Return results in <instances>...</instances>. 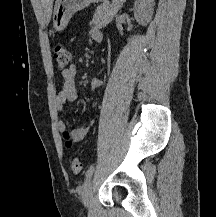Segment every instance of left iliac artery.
<instances>
[{
	"label": "left iliac artery",
	"instance_id": "obj_1",
	"mask_svg": "<svg viewBox=\"0 0 216 217\" xmlns=\"http://www.w3.org/2000/svg\"><path fill=\"white\" fill-rule=\"evenodd\" d=\"M94 169H95V167H94V165H91L89 168H88V170L86 171V182L91 178V176H92V174H93V172H94Z\"/></svg>",
	"mask_w": 216,
	"mask_h": 217
}]
</instances>
